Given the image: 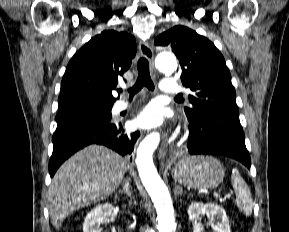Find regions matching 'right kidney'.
Returning a JSON list of instances; mask_svg holds the SVG:
<instances>
[{
	"label": "right kidney",
	"mask_w": 289,
	"mask_h": 232,
	"mask_svg": "<svg viewBox=\"0 0 289 232\" xmlns=\"http://www.w3.org/2000/svg\"><path fill=\"white\" fill-rule=\"evenodd\" d=\"M113 211V206L110 203L98 205L92 209L85 217L83 223V232H100V224L107 221ZM113 232H116L113 230Z\"/></svg>",
	"instance_id": "right-kidney-1"
}]
</instances>
